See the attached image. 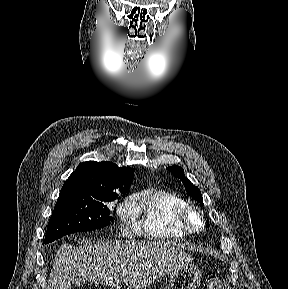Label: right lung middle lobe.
Instances as JSON below:
<instances>
[{"label":"right lung middle lobe","instance_id":"obj_1","mask_svg":"<svg viewBox=\"0 0 288 289\" xmlns=\"http://www.w3.org/2000/svg\"><path fill=\"white\" fill-rule=\"evenodd\" d=\"M119 192L125 193L127 190H108L95 194L60 193L43 243H50L69 233L91 231L107 226L112 218L106 204L116 200Z\"/></svg>","mask_w":288,"mask_h":289}]
</instances>
